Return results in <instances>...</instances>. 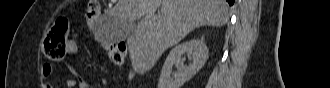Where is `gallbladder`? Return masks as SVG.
Returning a JSON list of instances; mask_svg holds the SVG:
<instances>
[{
	"label": "gallbladder",
	"instance_id": "bac80fb5",
	"mask_svg": "<svg viewBox=\"0 0 330 88\" xmlns=\"http://www.w3.org/2000/svg\"><path fill=\"white\" fill-rule=\"evenodd\" d=\"M135 27L136 25L132 21L104 20L102 39L109 44L118 43L125 40Z\"/></svg>",
	"mask_w": 330,
	"mask_h": 88
}]
</instances>
